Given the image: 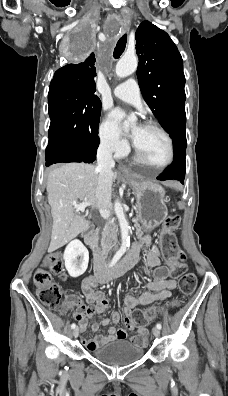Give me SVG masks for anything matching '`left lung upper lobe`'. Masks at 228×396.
I'll return each mask as SVG.
<instances>
[{
    "instance_id": "5c2ea615",
    "label": "left lung upper lobe",
    "mask_w": 228,
    "mask_h": 396,
    "mask_svg": "<svg viewBox=\"0 0 228 396\" xmlns=\"http://www.w3.org/2000/svg\"><path fill=\"white\" fill-rule=\"evenodd\" d=\"M137 77L144 100L170 133L186 122L182 57L169 35L149 21L136 33Z\"/></svg>"
}]
</instances>
